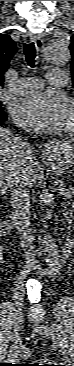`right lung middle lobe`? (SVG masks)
Listing matches in <instances>:
<instances>
[{"instance_id": "1", "label": "right lung middle lobe", "mask_w": 74, "mask_h": 366, "mask_svg": "<svg viewBox=\"0 0 74 366\" xmlns=\"http://www.w3.org/2000/svg\"><path fill=\"white\" fill-rule=\"evenodd\" d=\"M4 115L3 110L0 108V117H2Z\"/></svg>"}]
</instances>
